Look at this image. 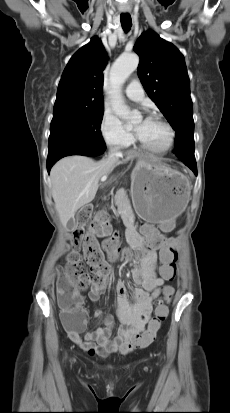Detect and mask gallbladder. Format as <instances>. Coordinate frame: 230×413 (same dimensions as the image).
Listing matches in <instances>:
<instances>
[{
    "mask_svg": "<svg viewBox=\"0 0 230 413\" xmlns=\"http://www.w3.org/2000/svg\"><path fill=\"white\" fill-rule=\"evenodd\" d=\"M67 227H68V229L73 230V229L76 227V224H75V222H73L72 220H70V221L67 223Z\"/></svg>",
    "mask_w": 230,
    "mask_h": 413,
    "instance_id": "bac80fb5",
    "label": "gallbladder"
}]
</instances>
